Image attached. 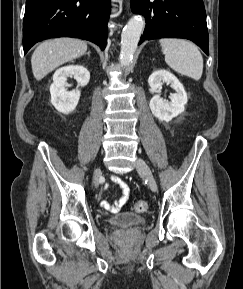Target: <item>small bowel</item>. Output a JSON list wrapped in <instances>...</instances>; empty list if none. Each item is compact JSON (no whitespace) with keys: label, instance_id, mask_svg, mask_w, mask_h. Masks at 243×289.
Instances as JSON below:
<instances>
[{"label":"small bowel","instance_id":"small-bowel-1","mask_svg":"<svg viewBox=\"0 0 243 289\" xmlns=\"http://www.w3.org/2000/svg\"><path fill=\"white\" fill-rule=\"evenodd\" d=\"M109 184H114L117 187L120 188L122 195L119 199H116L114 201V203H110L107 200H103L101 202V206L112 213L118 212L120 211L124 205L126 204L127 200H128V196H129V188L128 185L118 176H112L110 179V182L107 184V186Z\"/></svg>","mask_w":243,"mask_h":289}]
</instances>
